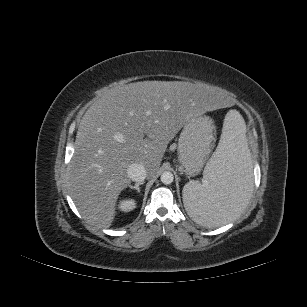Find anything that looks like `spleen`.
I'll return each instance as SVG.
<instances>
[{
  "instance_id": "obj_1",
  "label": "spleen",
  "mask_w": 307,
  "mask_h": 307,
  "mask_svg": "<svg viewBox=\"0 0 307 307\" xmlns=\"http://www.w3.org/2000/svg\"><path fill=\"white\" fill-rule=\"evenodd\" d=\"M253 179L246 125L235 110L224 119L219 144L207 163L203 180L183 188L188 215L198 224L216 228L233 221L251 198Z\"/></svg>"
}]
</instances>
